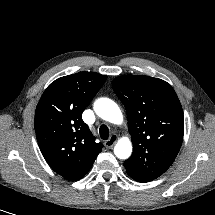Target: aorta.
<instances>
[{"instance_id":"aorta-1","label":"aorta","mask_w":215,"mask_h":215,"mask_svg":"<svg viewBox=\"0 0 215 215\" xmlns=\"http://www.w3.org/2000/svg\"><path fill=\"white\" fill-rule=\"evenodd\" d=\"M95 113L102 119L113 124H120L123 116L118 105L108 98H99L94 103ZM114 153L119 159H127L132 153V144L128 138L120 139L114 147Z\"/></svg>"}]
</instances>
